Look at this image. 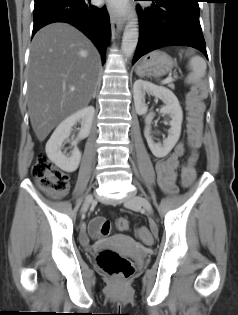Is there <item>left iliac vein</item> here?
<instances>
[{"label":"left iliac vein","mask_w":238,"mask_h":315,"mask_svg":"<svg viewBox=\"0 0 238 315\" xmlns=\"http://www.w3.org/2000/svg\"><path fill=\"white\" fill-rule=\"evenodd\" d=\"M124 205L132 209L142 207L149 215H152L153 213V209L150 202L140 195L136 194L129 195L124 199Z\"/></svg>","instance_id":"left-iliac-vein-1"}]
</instances>
